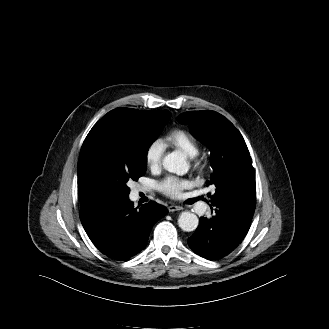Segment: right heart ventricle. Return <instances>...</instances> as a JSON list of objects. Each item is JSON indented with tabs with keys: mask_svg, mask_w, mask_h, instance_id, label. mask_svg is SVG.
Instances as JSON below:
<instances>
[{
	"mask_svg": "<svg viewBox=\"0 0 329 329\" xmlns=\"http://www.w3.org/2000/svg\"><path fill=\"white\" fill-rule=\"evenodd\" d=\"M166 142L179 148L190 157H194L199 152L196 140L183 129H174L166 136Z\"/></svg>",
	"mask_w": 329,
	"mask_h": 329,
	"instance_id": "obj_1",
	"label": "right heart ventricle"
}]
</instances>
